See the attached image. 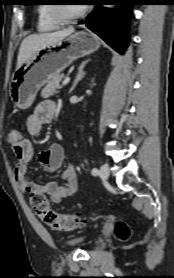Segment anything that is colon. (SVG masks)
I'll list each match as a JSON object with an SVG mask.
<instances>
[{
    "label": "colon",
    "mask_w": 174,
    "mask_h": 278,
    "mask_svg": "<svg viewBox=\"0 0 174 278\" xmlns=\"http://www.w3.org/2000/svg\"><path fill=\"white\" fill-rule=\"evenodd\" d=\"M23 136L13 130L8 135L9 143L15 144L21 141ZM29 200L36 215L50 228L58 231H72L85 225L80 214H59L51 210L46 197L38 192L30 193ZM115 234L120 239H126L130 234L129 227L122 222L116 224Z\"/></svg>",
    "instance_id": "1"
}]
</instances>
